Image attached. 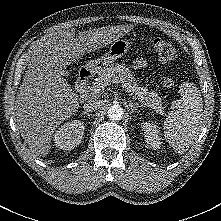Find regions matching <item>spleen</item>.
<instances>
[{"instance_id":"spleen-1","label":"spleen","mask_w":221,"mask_h":221,"mask_svg":"<svg viewBox=\"0 0 221 221\" xmlns=\"http://www.w3.org/2000/svg\"><path fill=\"white\" fill-rule=\"evenodd\" d=\"M182 97L178 109L164 122V137L176 153L183 154L193 144L202 125L203 102L198 88L189 82L180 85Z\"/></svg>"}]
</instances>
